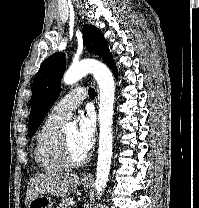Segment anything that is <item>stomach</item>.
I'll list each match as a JSON object with an SVG mask.
<instances>
[{"label":"stomach","instance_id":"1","mask_svg":"<svg viewBox=\"0 0 199 208\" xmlns=\"http://www.w3.org/2000/svg\"><path fill=\"white\" fill-rule=\"evenodd\" d=\"M84 187L90 185L89 181L81 180ZM53 201L49 195H39L28 204L27 208H52Z\"/></svg>","mask_w":199,"mask_h":208}]
</instances>
